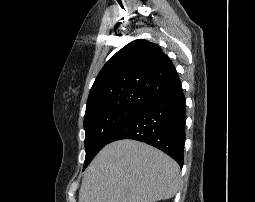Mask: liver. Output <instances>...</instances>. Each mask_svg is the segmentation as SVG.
<instances>
[{"instance_id":"liver-1","label":"liver","mask_w":255,"mask_h":202,"mask_svg":"<svg viewBox=\"0 0 255 202\" xmlns=\"http://www.w3.org/2000/svg\"><path fill=\"white\" fill-rule=\"evenodd\" d=\"M179 165L146 143L106 145L86 169L79 202H157L178 191Z\"/></svg>"}]
</instances>
